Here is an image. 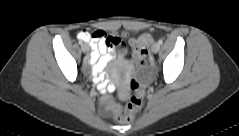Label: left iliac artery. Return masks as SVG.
Instances as JSON below:
<instances>
[{"instance_id":"44dca946","label":"left iliac artery","mask_w":239,"mask_h":136,"mask_svg":"<svg viewBox=\"0 0 239 136\" xmlns=\"http://www.w3.org/2000/svg\"><path fill=\"white\" fill-rule=\"evenodd\" d=\"M158 43H159V44H162V43H163V40H162V39H159Z\"/></svg>"}]
</instances>
